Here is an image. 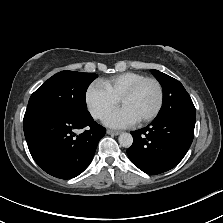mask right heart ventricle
<instances>
[{
  "label": "right heart ventricle",
  "mask_w": 223,
  "mask_h": 223,
  "mask_svg": "<svg viewBox=\"0 0 223 223\" xmlns=\"http://www.w3.org/2000/svg\"><path fill=\"white\" fill-rule=\"evenodd\" d=\"M145 76L136 72H124L111 76L102 82L111 93L112 96L119 97L138 81L144 79Z\"/></svg>",
  "instance_id": "e07e8e85"
}]
</instances>
